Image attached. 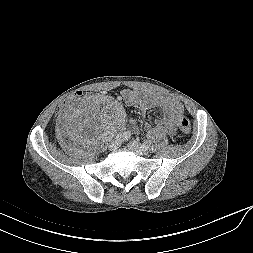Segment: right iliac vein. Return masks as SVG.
Masks as SVG:
<instances>
[{"instance_id": "1", "label": "right iliac vein", "mask_w": 253, "mask_h": 253, "mask_svg": "<svg viewBox=\"0 0 253 253\" xmlns=\"http://www.w3.org/2000/svg\"><path fill=\"white\" fill-rule=\"evenodd\" d=\"M122 138L121 137H117L114 141H112L109 145V149L110 150H116L120 144H121Z\"/></svg>"}]
</instances>
